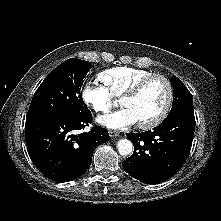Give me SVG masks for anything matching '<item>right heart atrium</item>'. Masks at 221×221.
<instances>
[{
	"label": "right heart atrium",
	"mask_w": 221,
	"mask_h": 221,
	"mask_svg": "<svg viewBox=\"0 0 221 221\" xmlns=\"http://www.w3.org/2000/svg\"><path fill=\"white\" fill-rule=\"evenodd\" d=\"M81 98L96 113H108L114 106L112 96L108 91L104 87L92 82H87L83 85Z\"/></svg>",
	"instance_id": "right-heart-atrium-1"
}]
</instances>
